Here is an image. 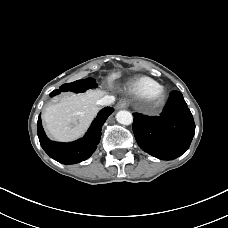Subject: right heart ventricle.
<instances>
[{"label":"right heart ventricle","mask_w":228,"mask_h":228,"mask_svg":"<svg viewBox=\"0 0 228 228\" xmlns=\"http://www.w3.org/2000/svg\"><path fill=\"white\" fill-rule=\"evenodd\" d=\"M161 87L154 79L146 76L133 79L127 86V91L138 98H147L155 89Z\"/></svg>","instance_id":"obj_1"}]
</instances>
